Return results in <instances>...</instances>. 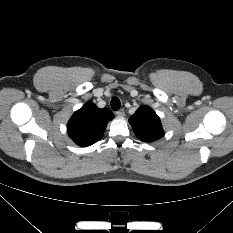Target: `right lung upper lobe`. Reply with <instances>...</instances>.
I'll use <instances>...</instances> for the list:
<instances>
[{"mask_svg":"<svg viewBox=\"0 0 233 233\" xmlns=\"http://www.w3.org/2000/svg\"><path fill=\"white\" fill-rule=\"evenodd\" d=\"M114 118L108 108L100 109L88 101L77 110L68 122V133L81 147H87L101 139L107 123Z\"/></svg>","mask_w":233,"mask_h":233,"instance_id":"right-lung-upper-lobe-1","label":"right lung upper lobe"}]
</instances>
